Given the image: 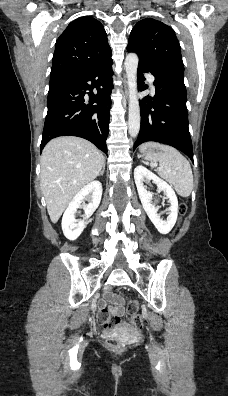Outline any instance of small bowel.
<instances>
[{
    "instance_id": "obj_1",
    "label": "small bowel",
    "mask_w": 228,
    "mask_h": 396,
    "mask_svg": "<svg viewBox=\"0 0 228 396\" xmlns=\"http://www.w3.org/2000/svg\"><path fill=\"white\" fill-rule=\"evenodd\" d=\"M99 308L102 315H122L124 313V306L121 300L114 297L110 293L107 294L104 300L99 302ZM102 321V318H99Z\"/></svg>"
}]
</instances>
